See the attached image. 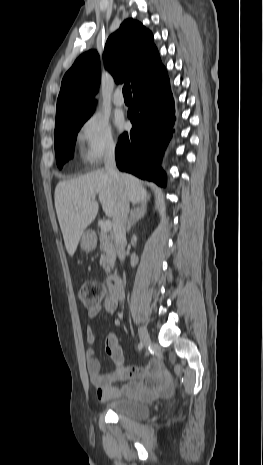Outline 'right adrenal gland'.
<instances>
[{
  "mask_svg": "<svg viewBox=\"0 0 263 465\" xmlns=\"http://www.w3.org/2000/svg\"><path fill=\"white\" fill-rule=\"evenodd\" d=\"M146 215V205L138 204L134 205L130 211L129 219L127 222V231H129L132 226H134L140 219Z\"/></svg>",
  "mask_w": 263,
  "mask_h": 465,
  "instance_id": "2a0ac1e0",
  "label": "right adrenal gland"
}]
</instances>
